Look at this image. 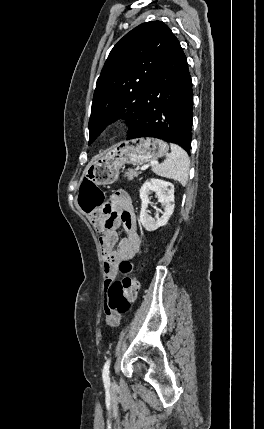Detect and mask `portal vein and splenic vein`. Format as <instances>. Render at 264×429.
<instances>
[{
	"label": "portal vein and splenic vein",
	"mask_w": 264,
	"mask_h": 429,
	"mask_svg": "<svg viewBox=\"0 0 264 429\" xmlns=\"http://www.w3.org/2000/svg\"><path fill=\"white\" fill-rule=\"evenodd\" d=\"M150 165H148V164H146V165H143V166H141V168H140V170H146L148 167H149Z\"/></svg>",
	"instance_id": "18ae733b"
}]
</instances>
